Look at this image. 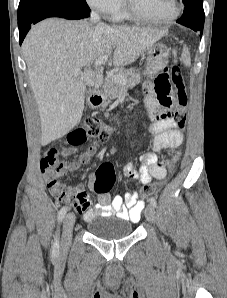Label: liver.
<instances>
[{"instance_id": "obj_1", "label": "liver", "mask_w": 227, "mask_h": 298, "mask_svg": "<svg viewBox=\"0 0 227 298\" xmlns=\"http://www.w3.org/2000/svg\"><path fill=\"white\" fill-rule=\"evenodd\" d=\"M167 34L153 28L58 18L33 26L22 51L39 109L41 144L63 137L80 122L86 86L99 88L103 82L102 68H91L97 59L107 55L122 68ZM77 69L83 71L74 76Z\"/></svg>"}]
</instances>
